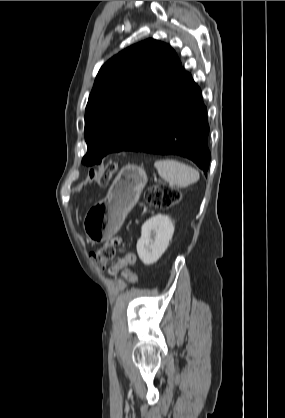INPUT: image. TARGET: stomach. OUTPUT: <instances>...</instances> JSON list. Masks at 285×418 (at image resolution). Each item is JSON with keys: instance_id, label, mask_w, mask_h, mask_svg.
Segmentation results:
<instances>
[{"instance_id": "0dacf381", "label": "stomach", "mask_w": 285, "mask_h": 418, "mask_svg": "<svg viewBox=\"0 0 285 418\" xmlns=\"http://www.w3.org/2000/svg\"><path fill=\"white\" fill-rule=\"evenodd\" d=\"M146 183L147 175L142 167L133 164L123 167L106 198L85 217L84 229L88 238L102 242L112 237L138 202Z\"/></svg>"}]
</instances>
